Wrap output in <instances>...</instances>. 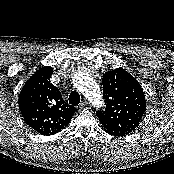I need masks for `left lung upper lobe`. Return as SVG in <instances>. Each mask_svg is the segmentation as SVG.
Returning <instances> with one entry per match:
<instances>
[{
    "mask_svg": "<svg viewBox=\"0 0 174 174\" xmlns=\"http://www.w3.org/2000/svg\"><path fill=\"white\" fill-rule=\"evenodd\" d=\"M103 97L106 108L96 115L107 133L126 136L139 126L146 100L139 82L131 74L122 68L106 72Z\"/></svg>",
    "mask_w": 174,
    "mask_h": 174,
    "instance_id": "5c2ea615",
    "label": "left lung upper lobe"
}]
</instances>
